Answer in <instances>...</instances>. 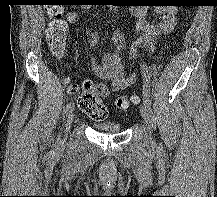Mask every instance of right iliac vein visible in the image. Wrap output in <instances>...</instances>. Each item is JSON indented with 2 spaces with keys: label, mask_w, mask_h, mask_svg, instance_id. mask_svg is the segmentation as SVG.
<instances>
[{
  "label": "right iliac vein",
  "mask_w": 217,
  "mask_h": 197,
  "mask_svg": "<svg viewBox=\"0 0 217 197\" xmlns=\"http://www.w3.org/2000/svg\"><path fill=\"white\" fill-rule=\"evenodd\" d=\"M74 121V113L72 111L69 112L68 116H67V120H66V125H65V136L64 139L61 141V144H64L67 138V132L70 129V126L72 124V122Z\"/></svg>",
  "instance_id": "right-iliac-vein-1"
}]
</instances>
